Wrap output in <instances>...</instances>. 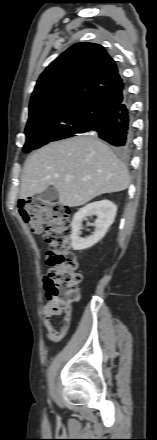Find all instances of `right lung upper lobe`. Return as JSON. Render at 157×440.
Here are the masks:
<instances>
[{
  "label": "right lung upper lobe",
  "mask_w": 157,
  "mask_h": 440,
  "mask_svg": "<svg viewBox=\"0 0 157 440\" xmlns=\"http://www.w3.org/2000/svg\"><path fill=\"white\" fill-rule=\"evenodd\" d=\"M126 95L114 60L94 43H77L41 74L29 106V120H89L120 105Z\"/></svg>",
  "instance_id": "1"
}]
</instances>
